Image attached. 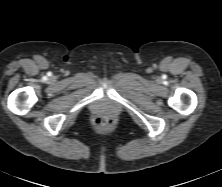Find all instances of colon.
I'll list each match as a JSON object with an SVG mask.
<instances>
[{"label":"colon","instance_id":"colon-1","mask_svg":"<svg viewBox=\"0 0 222 187\" xmlns=\"http://www.w3.org/2000/svg\"><path fill=\"white\" fill-rule=\"evenodd\" d=\"M95 124L103 128H108L112 125V120L109 118L100 117L95 120Z\"/></svg>","mask_w":222,"mask_h":187}]
</instances>
